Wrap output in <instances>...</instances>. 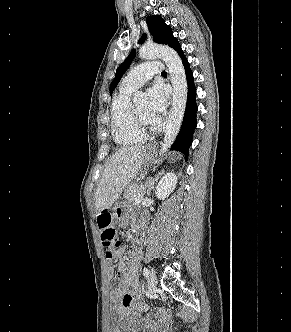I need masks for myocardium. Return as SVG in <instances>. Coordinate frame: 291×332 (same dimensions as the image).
<instances>
[{
	"instance_id": "obj_1",
	"label": "myocardium",
	"mask_w": 291,
	"mask_h": 332,
	"mask_svg": "<svg viewBox=\"0 0 291 332\" xmlns=\"http://www.w3.org/2000/svg\"><path fill=\"white\" fill-rule=\"evenodd\" d=\"M132 115L135 126L139 132L147 135L154 131V127L152 125H148L142 120L135 105H132Z\"/></svg>"
}]
</instances>
